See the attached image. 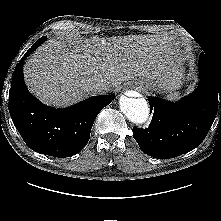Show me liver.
<instances>
[{
	"mask_svg": "<svg viewBox=\"0 0 221 221\" xmlns=\"http://www.w3.org/2000/svg\"><path fill=\"white\" fill-rule=\"evenodd\" d=\"M174 44L161 35L50 39L26 61L25 83L43 103L69 106L95 94L91 86L101 79L117 88L135 77L159 78L175 64Z\"/></svg>",
	"mask_w": 221,
	"mask_h": 221,
	"instance_id": "liver-1",
	"label": "liver"
}]
</instances>
